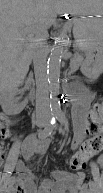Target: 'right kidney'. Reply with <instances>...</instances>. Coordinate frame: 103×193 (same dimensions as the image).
Instances as JSON below:
<instances>
[{"label":"right kidney","instance_id":"obj_1","mask_svg":"<svg viewBox=\"0 0 103 193\" xmlns=\"http://www.w3.org/2000/svg\"><path fill=\"white\" fill-rule=\"evenodd\" d=\"M17 93L18 84H13L8 81L1 84L0 104L5 114L16 115L24 109V106L17 104Z\"/></svg>","mask_w":103,"mask_h":193}]
</instances>
